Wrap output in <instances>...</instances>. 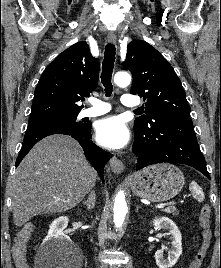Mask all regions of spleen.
I'll return each mask as SVG.
<instances>
[{
	"mask_svg": "<svg viewBox=\"0 0 221 268\" xmlns=\"http://www.w3.org/2000/svg\"><path fill=\"white\" fill-rule=\"evenodd\" d=\"M190 190L193 193L194 197L199 201L202 202L204 200V193L202 191V188L195 182L192 181L190 183Z\"/></svg>",
	"mask_w": 221,
	"mask_h": 268,
	"instance_id": "3e777b00",
	"label": "spleen"
}]
</instances>
